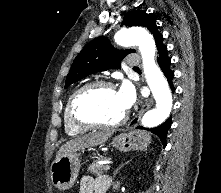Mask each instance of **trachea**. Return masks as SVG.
<instances>
[{
    "instance_id": "3493384b",
    "label": "trachea",
    "mask_w": 221,
    "mask_h": 193,
    "mask_svg": "<svg viewBox=\"0 0 221 193\" xmlns=\"http://www.w3.org/2000/svg\"><path fill=\"white\" fill-rule=\"evenodd\" d=\"M134 69H138V67H134Z\"/></svg>"
}]
</instances>
